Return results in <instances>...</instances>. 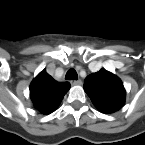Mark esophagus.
Listing matches in <instances>:
<instances>
[{
  "mask_svg": "<svg viewBox=\"0 0 145 145\" xmlns=\"http://www.w3.org/2000/svg\"><path fill=\"white\" fill-rule=\"evenodd\" d=\"M72 85H82V80H71L70 81Z\"/></svg>",
  "mask_w": 145,
  "mask_h": 145,
  "instance_id": "obj_1",
  "label": "esophagus"
}]
</instances>
